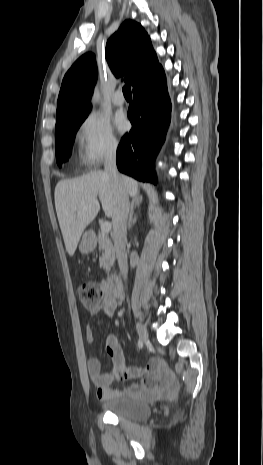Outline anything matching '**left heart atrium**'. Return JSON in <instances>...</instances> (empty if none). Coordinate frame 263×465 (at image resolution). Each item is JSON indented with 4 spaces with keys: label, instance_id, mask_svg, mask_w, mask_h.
I'll return each instance as SVG.
<instances>
[{
    "label": "left heart atrium",
    "instance_id": "obj_1",
    "mask_svg": "<svg viewBox=\"0 0 263 465\" xmlns=\"http://www.w3.org/2000/svg\"><path fill=\"white\" fill-rule=\"evenodd\" d=\"M115 123H116V126H117L118 130L121 131V132L126 131L127 128H128V122L124 118V116H122V115H119L116 118Z\"/></svg>",
    "mask_w": 263,
    "mask_h": 465
}]
</instances>
